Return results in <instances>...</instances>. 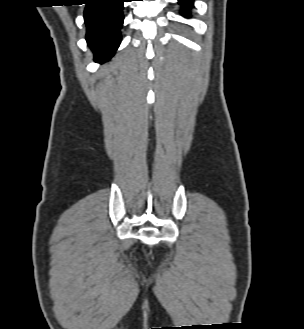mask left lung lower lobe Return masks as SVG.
Instances as JSON below:
<instances>
[{"instance_id": "obj_1", "label": "left lung lower lobe", "mask_w": 304, "mask_h": 329, "mask_svg": "<svg viewBox=\"0 0 304 329\" xmlns=\"http://www.w3.org/2000/svg\"><path fill=\"white\" fill-rule=\"evenodd\" d=\"M193 1L194 0H179V4L182 5L184 11L182 12V14L185 16V17H189V14H188V10L193 6Z\"/></svg>"}]
</instances>
